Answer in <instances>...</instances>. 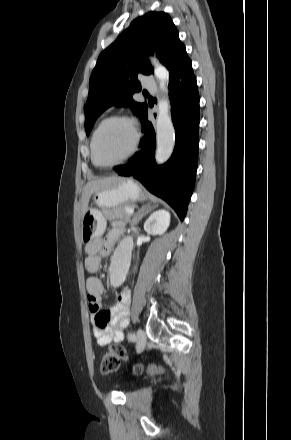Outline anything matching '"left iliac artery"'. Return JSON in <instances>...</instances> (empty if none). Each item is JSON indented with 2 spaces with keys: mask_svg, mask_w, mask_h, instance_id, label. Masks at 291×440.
I'll use <instances>...</instances> for the list:
<instances>
[{
  "mask_svg": "<svg viewBox=\"0 0 291 440\" xmlns=\"http://www.w3.org/2000/svg\"><path fill=\"white\" fill-rule=\"evenodd\" d=\"M128 339H129L130 341H135V340H136V336H135V334H134V333H129V335H128Z\"/></svg>",
  "mask_w": 291,
  "mask_h": 440,
  "instance_id": "44dca946",
  "label": "left iliac artery"
}]
</instances>
